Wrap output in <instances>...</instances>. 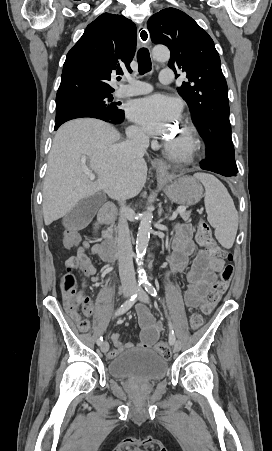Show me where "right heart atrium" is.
<instances>
[{
	"label": "right heart atrium",
	"instance_id": "obj_1",
	"mask_svg": "<svg viewBox=\"0 0 272 451\" xmlns=\"http://www.w3.org/2000/svg\"><path fill=\"white\" fill-rule=\"evenodd\" d=\"M132 130H133L134 133H138L140 131L137 126H133Z\"/></svg>",
	"mask_w": 272,
	"mask_h": 451
}]
</instances>
